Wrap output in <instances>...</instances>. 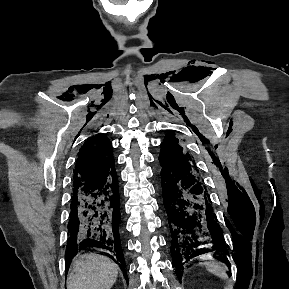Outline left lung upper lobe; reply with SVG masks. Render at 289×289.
<instances>
[{"mask_svg":"<svg viewBox=\"0 0 289 289\" xmlns=\"http://www.w3.org/2000/svg\"><path fill=\"white\" fill-rule=\"evenodd\" d=\"M161 150H167L174 154L183 155L192 163L191 156L183 150V148L179 145L178 139L175 138L172 133H168L164 141L161 143Z\"/></svg>","mask_w":289,"mask_h":289,"instance_id":"5c2ea615","label":"left lung upper lobe"}]
</instances>
